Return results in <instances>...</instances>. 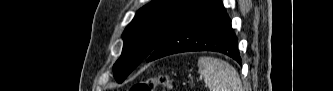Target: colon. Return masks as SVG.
I'll list each match as a JSON object with an SVG mask.
<instances>
[{
	"instance_id": "obj_1",
	"label": "colon",
	"mask_w": 333,
	"mask_h": 91,
	"mask_svg": "<svg viewBox=\"0 0 333 91\" xmlns=\"http://www.w3.org/2000/svg\"><path fill=\"white\" fill-rule=\"evenodd\" d=\"M157 86H161L167 90L172 89V82L170 78L161 74L154 78L138 82L130 88V91H154Z\"/></svg>"
}]
</instances>
